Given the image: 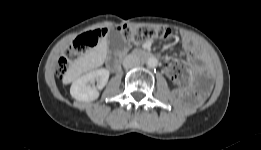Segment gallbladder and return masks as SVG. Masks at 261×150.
I'll list each match as a JSON object with an SVG mask.
<instances>
[{"label": "gallbladder", "mask_w": 261, "mask_h": 150, "mask_svg": "<svg viewBox=\"0 0 261 150\" xmlns=\"http://www.w3.org/2000/svg\"><path fill=\"white\" fill-rule=\"evenodd\" d=\"M108 50L112 54L119 53L127 47L124 37L119 31H110L107 36Z\"/></svg>", "instance_id": "bac80fb5"}]
</instances>
